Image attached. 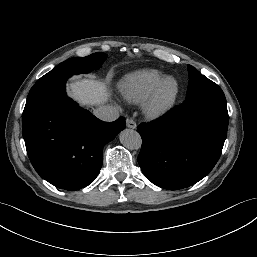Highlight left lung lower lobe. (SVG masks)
<instances>
[{"label": "left lung lower lobe", "instance_id": "obj_1", "mask_svg": "<svg viewBox=\"0 0 257 257\" xmlns=\"http://www.w3.org/2000/svg\"><path fill=\"white\" fill-rule=\"evenodd\" d=\"M226 99L184 101L138 126V163L155 185L176 190L195 184L217 163L228 128Z\"/></svg>", "mask_w": 257, "mask_h": 257}]
</instances>
